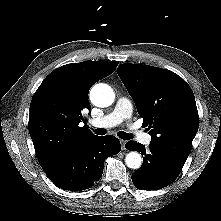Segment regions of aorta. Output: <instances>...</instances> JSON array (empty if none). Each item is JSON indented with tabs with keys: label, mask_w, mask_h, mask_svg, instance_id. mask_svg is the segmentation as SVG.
<instances>
[{
	"label": "aorta",
	"mask_w": 221,
	"mask_h": 221,
	"mask_svg": "<svg viewBox=\"0 0 221 221\" xmlns=\"http://www.w3.org/2000/svg\"><path fill=\"white\" fill-rule=\"evenodd\" d=\"M113 89L103 83L96 84L90 91V100L97 107H108L114 102ZM127 167L131 169H138L142 165V157L138 152H130L125 157Z\"/></svg>",
	"instance_id": "1"
}]
</instances>
